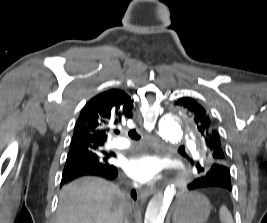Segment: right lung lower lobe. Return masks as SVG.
<instances>
[{
  "instance_id": "right-lung-lower-lobe-1",
  "label": "right lung lower lobe",
  "mask_w": 267,
  "mask_h": 223,
  "mask_svg": "<svg viewBox=\"0 0 267 223\" xmlns=\"http://www.w3.org/2000/svg\"><path fill=\"white\" fill-rule=\"evenodd\" d=\"M82 176H97L108 180H114L118 176V170L114 165H110L105 168H87L72 173H63L61 186L68 181ZM131 196L136 200L137 195L135 190L131 191Z\"/></svg>"
}]
</instances>
